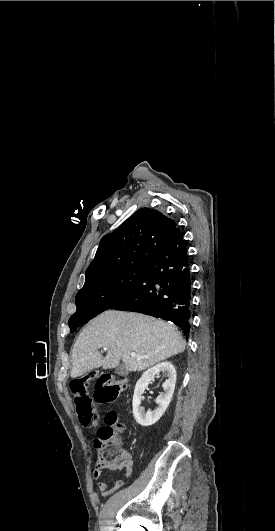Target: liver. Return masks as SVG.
Instances as JSON below:
<instances>
[{
  "label": "liver",
  "instance_id": "1",
  "mask_svg": "<svg viewBox=\"0 0 275 531\" xmlns=\"http://www.w3.org/2000/svg\"><path fill=\"white\" fill-rule=\"evenodd\" d=\"M185 341L173 325L124 311H105L80 333L72 351L71 377L92 369H115L122 359L127 371H145L185 351ZM107 347L106 357L98 349ZM136 353V359L131 357Z\"/></svg>",
  "mask_w": 275,
  "mask_h": 531
}]
</instances>
